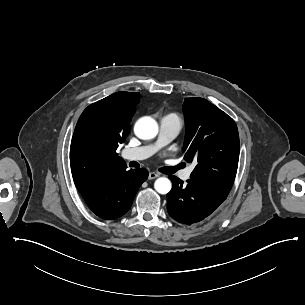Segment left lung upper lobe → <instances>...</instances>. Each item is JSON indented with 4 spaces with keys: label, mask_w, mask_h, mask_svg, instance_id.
<instances>
[{
    "label": "left lung upper lobe",
    "mask_w": 305,
    "mask_h": 305,
    "mask_svg": "<svg viewBox=\"0 0 305 305\" xmlns=\"http://www.w3.org/2000/svg\"><path fill=\"white\" fill-rule=\"evenodd\" d=\"M183 112L186 123L184 159L198 162L190 180L230 191L239 160L236 123L203 98H186Z\"/></svg>",
    "instance_id": "obj_1"
}]
</instances>
